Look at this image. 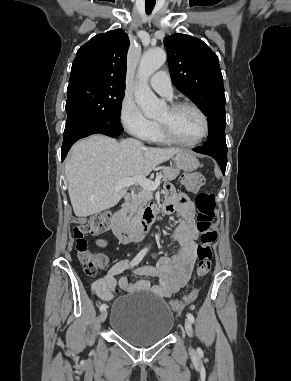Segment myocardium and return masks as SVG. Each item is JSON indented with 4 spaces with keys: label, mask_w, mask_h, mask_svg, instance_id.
Here are the masks:
<instances>
[{
    "label": "myocardium",
    "mask_w": 291,
    "mask_h": 381,
    "mask_svg": "<svg viewBox=\"0 0 291 381\" xmlns=\"http://www.w3.org/2000/svg\"><path fill=\"white\" fill-rule=\"evenodd\" d=\"M184 108H189V109L194 110L195 112L198 113V115L202 119L203 131H202L201 135L195 141H192V142L181 141L172 133V131L170 130V128L168 126H166L165 124H163L159 121H157V127H158L160 134L168 142L175 144V145L183 146V147H194V146L200 144L207 137V135L209 133V121H208V118H207L206 114L204 113V111L194 103L176 102V103L171 104L168 107V109L171 113H175V112H177L181 109H184Z\"/></svg>",
    "instance_id": "1"
}]
</instances>
